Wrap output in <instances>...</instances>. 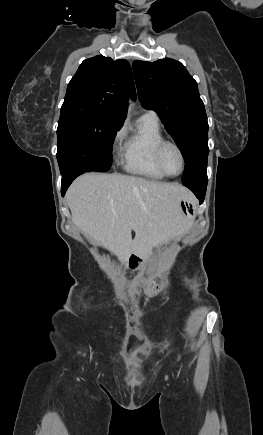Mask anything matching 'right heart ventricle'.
Returning <instances> with one entry per match:
<instances>
[{
  "instance_id": "e07e8e85",
  "label": "right heart ventricle",
  "mask_w": 263,
  "mask_h": 435,
  "mask_svg": "<svg viewBox=\"0 0 263 435\" xmlns=\"http://www.w3.org/2000/svg\"><path fill=\"white\" fill-rule=\"evenodd\" d=\"M163 140L164 135L158 119L145 115L140 117L136 129L128 136L122 148L125 170L148 179H164L166 176L155 162L156 147Z\"/></svg>"
}]
</instances>
